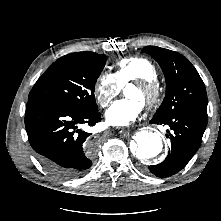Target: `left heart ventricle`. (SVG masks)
Wrapping results in <instances>:
<instances>
[{"label": "left heart ventricle", "mask_w": 221, "mask_h": 221, "mask_svg": "<svg viewBox=\"0 0 221 221\" xmlns=\"http://www.w3.org/2000/svg\"><path fill=\"white\" fill-rule=\"evenodd\" d=\"M125 94L128 97L135 98V99L139 100L141 103L144 100L143 92L140 89H138L137 87H135V86H128L125 89Z\"/></svg>", "instance_id": "left-heart-ventricle-1"}]
</instances>
